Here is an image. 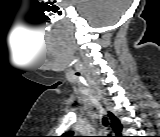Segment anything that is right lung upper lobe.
Returning <instances> with one entry per match:
<instances>
[{"instance_id":"cb5924a9","label":"right lung upper lobe","mask_w":160,"mask_h":137,"mask_svg":"<svg viewBox=\"0 0 160 137\" xmlns=\"http://www.w3.org/2000/svg\"><path fill=\"white\" fill-rule=\"evenodd\" d=\"M109 117L112 121L111 125L113 130L116 132L117 135H119L122 130V125L120 124V121L112 113H109Z\"/></svg>"}]
</instances>
